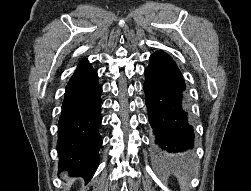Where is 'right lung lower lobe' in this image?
I'll return each instance as SVG.
<instances>
[{
    "label": "right lung lower lobe",
    "instance_id": "98d812e1",
    "mask_svg": "<svg viewBox=\"0 0 251 191\" xmlns=\"http://www.w3.org/2000/svg\"><path fill=\"white\" fill-rule=\"evenodd\" d=\"M97 72L68 83L59 118V171L90 181L99 165L102 139L101 93Z\"/></svg>",
    "mask_w": 251,
    "mask_h": 191
}]
</instances>
